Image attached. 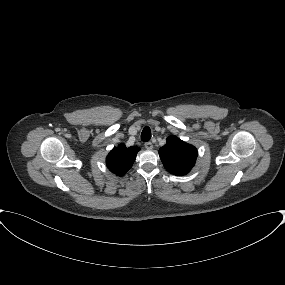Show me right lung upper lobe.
Returning <instances> with one entry per match:
<instances>
[{"mask_svg":"<svg viewBox=\"0 0 285 285\" xmlns=\"http://www.w3.org/2000/svg\"><path fill=\"white\" fill-rule=\"evenodd\" d=\"M139 150L137 146L127 148L124 144L114 147L106 158L108 169L118 176H123L133 165Z\"/></svg>","mask_w":285,"mask_h":285,"instance_id":"1","label":"right lung upper lobe"}]
</instances>
